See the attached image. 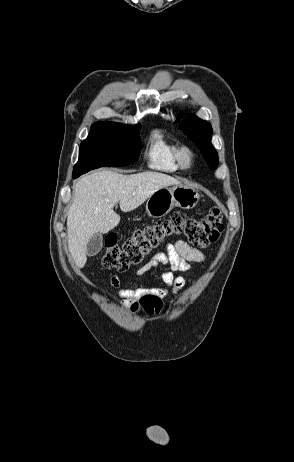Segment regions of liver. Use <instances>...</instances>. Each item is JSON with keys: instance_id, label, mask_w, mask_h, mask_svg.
<instances>
[{"instance_id": "6515ba94", "label": "liver", "mask_w": 294, "mask_h": 462, "mask_svg": "<svg viewBox=\"0 0 294 462\" xmlns=\"http://www.w3.org/2000/svg\"><path fill=\"white\" fill-rule=\"evenodd\" d=\"M179 184L174 177L158 172L122 175L102 170L81 177L67 215L68 248L76 265H85L87 243L94 234L108 233L119 224L120 216L113 210L117 202L123 212H130L156 190Z\"/></svg>"}]
</instances>
